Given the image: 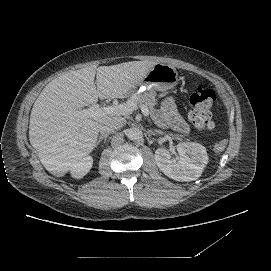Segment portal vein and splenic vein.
<instances>
[{
  "label": "portal vein and splenic vein",
  "mask_w": 271,
  "mask_h": 271,
  "mask_svg": "<svg viewBox=\"0 0 271 271\" xmlns=\"http://www.w3.org/2000/svg\"><path fill=\"white\" fill-rule=\"evenodd\" d=\"M106 109L107 108L105 109L101 108L100 104H94V105H91L88 109L71 112V115L75 117H88L91 115H101L106 112ZM133 109H137V107L132 106L131 104H128L126 106H121V107H110V109H108V112L113 113L115 115L127 114V113H131ZM142 114L144 117H149L150 112L146 106L142 107Z\"/></svg>",
  "instance_id": "obj_1"
}]
</instances>
